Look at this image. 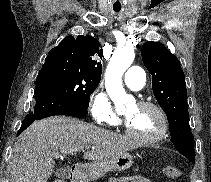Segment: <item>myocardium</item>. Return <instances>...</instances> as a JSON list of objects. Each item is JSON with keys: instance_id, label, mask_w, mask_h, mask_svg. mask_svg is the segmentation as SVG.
<instances>
[{"instance_id": "obj_1", "label": "myocardium", "mask_w": 211, "mask_h": 182, "mask_svg": "<svg viewBox=\"0 0 211 182\" xmlns=\"http://www.w3.org/2000/svg\"><path fill=\"white\" fill-rule=\"evenodd\" d=\"M136 105L142 108L153 109L159 116V119L161 121V127L156 135L149 138H142L134 134L129 128L127 122L125 121L124 130H125L126 135L130 137L132 140L136 141L137 143L143 144V145H153L160 142L162 139H164V137L167 135L168 130H169V121H168L167 115L165 114V112L159 105L150 101H139Z\"/></svg>"}]
</instances>
